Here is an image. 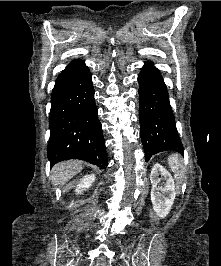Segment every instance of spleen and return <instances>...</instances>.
Listing matches in <instances>:
<instances>
[{
    "label": "spleen",
    "mask_w": 221,
    "mask_h": 266,
    "mask_svg": "<svg viewBox=\"0 0 221 266\" xmlns=\"http://www.w3.org/2000/svg\"><path fill=\"white\" fill-rule=\"evenodd\" d=\"M168 164L171 170L174 172L176 179L179 181V183H182L185 178V167L182 163V160L177 154H174L168 158Z\"/></svg>",
    "instance_id": "3e777b00"
}]
</instances>
